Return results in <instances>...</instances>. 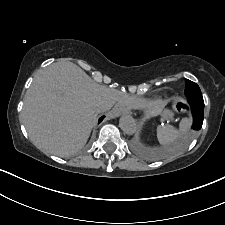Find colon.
Returning a JSON list of instances; mask_svg holds the SVG:
<instances>
[{
  "label": "colon",
  "instance_id": "5ec220e1",
  "mask_svg": "<svg viewBox=\"0 0 225 225\" xmlns=\"http://www.w3.org/2000/svg\"><path fill=\"white\" fill-rule=\"evenodd\" d=\"M189 106L185 101L177 100L174 103V109L178 112H186Z\"/></svg>",
  "mask_w": 225,
  "mask_h": 225
}]
</instances>
